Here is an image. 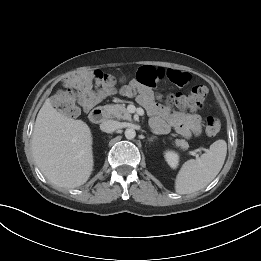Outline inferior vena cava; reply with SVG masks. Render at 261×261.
I'll return each mask as SVG.
<instances>
[{"instance_id": "inferior-vena-cava-1", "label": "inferior vena cava", "mask_w": 261, "mask_h": 261, "mask_svg": "<svg viewBox=\"0 0 261 261\" xmlns=\"http://www.w3.org/2000/svg\"><path fill=\"white\" fill-rule=\"evenodd\" d=\"M120 127V123L114 120H107L100 124V129L106 133H112Z\"/></svg>"}]
</instances>
